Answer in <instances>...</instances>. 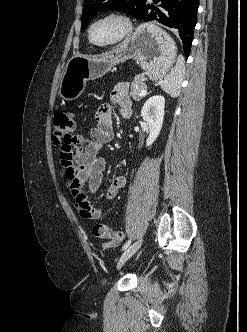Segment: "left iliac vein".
Segmentation results:
<instances>
[{
  "mask_svg": "<svg viewBox=\"0 0 247 332\" xmlns=\"http://www.w3.org/2000/svg\"><path fill=\"white\" fill-rule=\"evenodd\" d=\"M142 241H143L142 239H139L125 249V251L123 252V254L121 255V257L118 261V264H117L118 269H120L123 266V264L137 252V250L142 245Z\"/></svg>",
  "mask_w": 247,
  "mask_h": 332,
  "instance_id": "4c4485c4",
  "label": "left iliac vein"
}]
</instances>
